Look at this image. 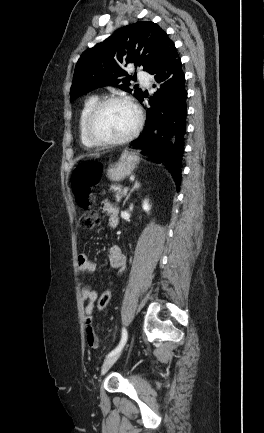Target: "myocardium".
<instances>
[{"label": "myocardium", "mask_w": 264, "mask_h": 433, "mask_svg": "<svg viewBox=\"0 0 264 433\" xmlns=\"http://www.w3.org/2000/svg\"><path fill=\"white\" fill-rule=\"evenodd\" d=\"M112 103H123L132 108L136 115V122L132 130L125 136L118 139H102L97 137L93 132V123L100 113V111L107 105ZM143 125V114L139 106L129 97L121 95H113L109 97L102 98L97 101V103L90 109L86 116L84 131L89 142L94 146H118L128 143L133 138H135L140 132Z\"/></svg>", "instance_id": "f54148a6"}]
</instances>
